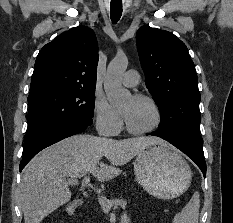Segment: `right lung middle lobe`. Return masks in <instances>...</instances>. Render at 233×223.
Masks as SVG:
<instances>
[{
	"mask_svg": "<svg viewBox=\"0 0 233 223\" xmlns=\"http://www.w3.org/2000/svg\"><path fill=\"white\" fill-rule=\"evenodd\" d=\"M94 97V88H53L30 94L24 143L68 119L93 117Z\"/></svg>",
	"mask_w": 233,
	"mask_h": 223,
	"instance_id": "dd1d6c3e",
	"label": "right lung middle lobe"
}]
</instances>
